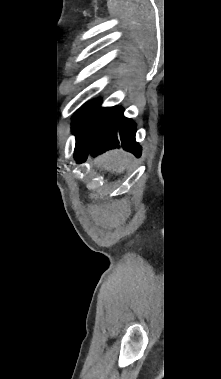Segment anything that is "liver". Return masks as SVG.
I'll return each mask as SVG.
<instances>
[{
	"label": "liver",
	"mask_w": 221,
	"mask_h": 379,
	"mask_svg": "<svg viewBox=\"0 0 221 379\" xmlns=\"http://www.w3.org/2000/svg\"><path fill=\"white\" fill-rule=\"evenodd\" d=\"M131 161V155L123 150H112L99 156L94 162L98 167L104 168L108 172L121 174Z\"/></svg>",
	"instance_id": "obj_1"
}]
</instances>
